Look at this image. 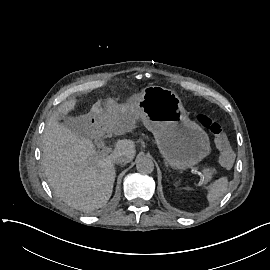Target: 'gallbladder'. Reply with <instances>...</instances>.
I'll use <instances>...</instances> for the list:
<instances>
[{"mask_svg":"<svg viewBox=\"0 0 270 270\" xmlns=\"http://www.w3.org/2000/svg\"><path fill=\"white\" fill-rule=\"evenodd\" d=\"M64 125L70 129L72 132L79 136L81 135L82 129L87 126V122L83 117H64Z\"/></svg>","mask_w":270,"mask_h":270,"instance_id":"bac80fb5","label":"gallbladder"}]
</instances>
